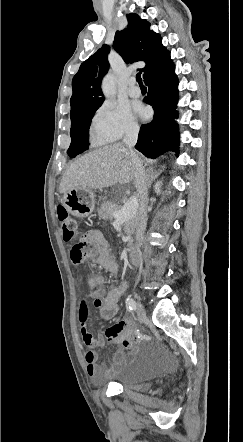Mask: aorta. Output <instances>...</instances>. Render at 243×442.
<instances>
[{"label": "aorta", "mask_w": 243, "mask_h": 442, "mask_svg": "<svg viewBox=\"0 0 243 442\" xmlns=\"http://www.w3.org/2000/svg\"><path fill=\"white\" fill-rule=\"evenodd\" d=\"M102 90L106 98H111L115 94L114 78L107 75L102 82Z\"/></svg>", "instance_id": "obj_1"}]
</instances>
